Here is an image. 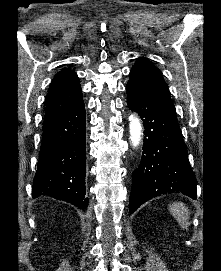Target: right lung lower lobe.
Masks as SVG:
<instances>
[{"mask_svg":"<svg viewBox=\"0 0 221 271\" xmlns=\"http://www.w3.org/2000/svg\"><path fill=\"white\" fill-rule=\"evenodd\" d=\"M33 198L41 195L67 201L78 208L85 198L86 116L83 101L76 107L45 116Z\"/></svg>","mask_w":221,"mask_h":271,"instance_id":"1","label":"right lung lower lobe"}]
</instances>
